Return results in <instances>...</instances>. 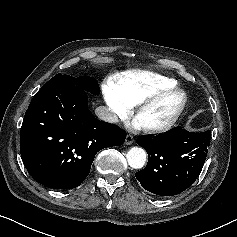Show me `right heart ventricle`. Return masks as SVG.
Returning <instances> with one entry per match:
<instances>
[{
	"mask_svg": "<svg viewBox=\"0 0 237 237\" xmlns=\"http://www.w3.org/2000/svg\"><path fill=\"white\" fill-rule=\"evenodd\" d=\"M113 82L121 95L135 106L158 91L176 86V81L149 71H128L117 74Z\"/></svg>",
	"mask_w": 237,
	"mask_h": 237,
	"instance_id": "obj_1",
	"label": "right heart ventricle"
}]
</instances>
